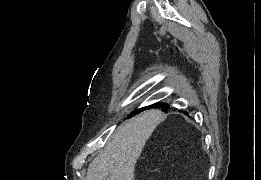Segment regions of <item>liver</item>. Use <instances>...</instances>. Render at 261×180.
<instances>
[{
	"instance_id": "liver-1",
	"label": "liver",
	"mask_w": 261,
	"mask_h": 180,
	"mask_svg": "<svg viewBox=\"0 0 261 180\" xmlns=\"http://www.w3.org/2000/svg\"><path fill=\"white\" fill-rule=\"evenodd\" d=\"M152 110L127 120L88 166L85 180H134L135 164L152 134Z\"/></svg>"
}]
</instances>
